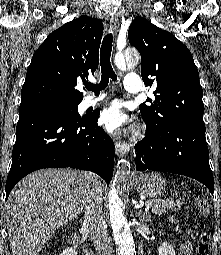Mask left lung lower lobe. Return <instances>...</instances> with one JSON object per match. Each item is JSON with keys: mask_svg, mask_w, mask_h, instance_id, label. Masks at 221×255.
<instances>
[{"mask_svg": "<svg viewBox=\"0 0 221 255\" xmlns=\"http://www.w3.org/2000/svg\"><path fill=\"white\" fill-rule=\"evenodd\" d=\"M135 152L138 171L149 169L189 176L213 194L205 127L182 120H172L160 128L147 126L146 136L135 145Z\"/></svg>", "mask_w": 221, "mask_h": 255, "instance_id": "0a47b994", "label": "left lung lower lobe"}]
</instances>
